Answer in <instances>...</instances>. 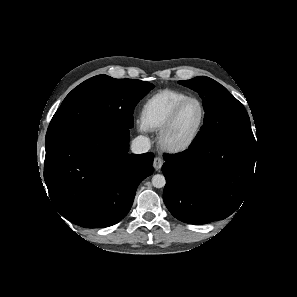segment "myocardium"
Returning a JSON list of instances; mask_svg holds the SVG:
<instances>
[{"mask_svg": "<svg viewBox=\"0 0 297 297\" xmlns=\"http://www.w3.org/2000/svg\"><path fill=\"white\" fill-rule=\"evenodd\" d=\"M190 102H197L200 105L201 111H202L200 122H199L197 128L195 129V131L193 132V134L186 141L179 143V144H173L169 141L170 133L177 121V118H178L180 112ZM206 119H207V110H206L205 105L203 104V102L200 99H198L196 97H189V98L183 100L174 108V110L172 111V113L170 114V116L168 117V119L166 120V122L160 129L158 140H159V144H160L161 148L163 150H165L166 152L173 153V154L182 153V152L187 151L195 144V142L199 138V136L205 126Z\"/></svg>", "mask_w": 297, "mask_h": 297, "instance_id": "1", "label": "myocardium"}]
</instances>
